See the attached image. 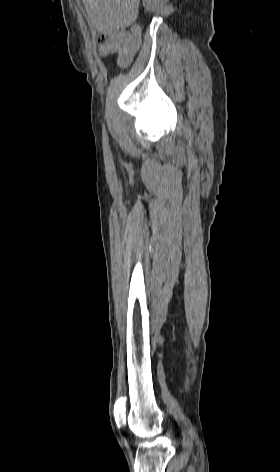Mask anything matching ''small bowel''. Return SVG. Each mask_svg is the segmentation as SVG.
<instances>
[{
    "instance_id": "obj_1",
    "label": "small bowel",
    "mask_w": 280,
    "mask_h": 472,
    "mask_svg": "<svg viewBox=\"0 0 280 472\" xmlns=\"http://www.w3.org/2000/svg\"><path fill=\"white\" fill-rule=\"evenodd\" d=\"M141 44V33L138 26H134L130 32L121 31L114 34L110 40L100 47L102 55L118 53L119 57L127 56L130 61Z\"/></svg>"
}]
</instances>
